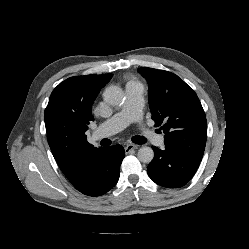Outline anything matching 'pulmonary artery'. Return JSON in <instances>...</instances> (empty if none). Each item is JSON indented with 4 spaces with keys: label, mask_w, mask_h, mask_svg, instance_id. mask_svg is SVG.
I'll return each mask as SVG.
<instances>
[{
    "label": "pulmonary artery",
    "mask_w": 249,
    "mask_h": 249,
    "mask_svg": "<svg viewBox=\"0 0 249 249\" xmlns=\"http://www.w3.org/2000/svg\"><path fill=\"white\" fill-rule=\"evenodd\" d=\"M143 93L144 89L141 85L127 86V98L124 109L95 129L92 133L93 139L100 140L106 138L121 131L130 122L139 120L142 114ZM142 133L145 139L156 147H164L163 135L154 133L148 128H145Z\"/></svg>",
    "instance_id": "e3ab8cb5"
}]
</instances>
